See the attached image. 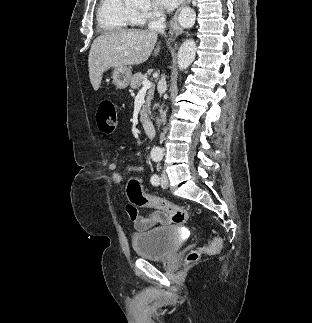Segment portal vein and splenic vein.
I'll return each mask as SVG.
<instances>
[{"instance_id":"1","label":"portal vein and splenic vein","mask_w":312,"mask_h":323,"mask_svg":"<svg viewBox=\"0 0 312 323\" xmlns=\"http://www.w3.org/2000/svg\"><path fill=\"white\" fill-rule=\"evenodd\" d=\"M142 86L143 88H141V90H139L138 94H146L147 90H149V88H152V84L151 82H149V80H144V82H142Z\"/></svg>"}]
</instances>
